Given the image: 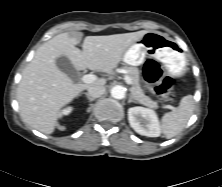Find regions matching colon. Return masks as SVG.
<instances>
[{"instance_id":"obj_1","label":"colon","mask_w":222,"mask_h":187,"mask_svg":"<svg viewBox=\"0 0 222 187\" xmlns=\"http://www.w3.org/2000/svg\"><path fill=\"white\" fill-rule=\"evenodd\" d=\"M144 80L149 84V91L165 101L172 98L174 81L169 77H163L162 70L157 62L148 60L143 68Z\"/></svg>"}]
</instances>
